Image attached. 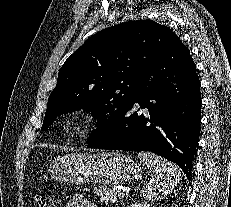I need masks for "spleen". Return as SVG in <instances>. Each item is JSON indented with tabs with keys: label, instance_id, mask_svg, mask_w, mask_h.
<instances>
[{
	"label": "spleen",
	"instance_id": "3e777b00",
	"mask_svg": "<svg viewBox=\"0 0 231 207\" xmlns=\"http://www.w3.org/2000/svg\"><path fill=\"white\" fill-rule=\"evenodd\" d=\"M138 158L152 173L144 185L143 196L147 200H157L172 190L182 179L183 172L175 164L150 152H138Z\"/></svg>",
	"mask_w": 231,
	"mask_h": 207
}]
</instances>
